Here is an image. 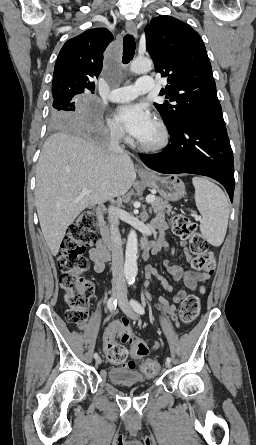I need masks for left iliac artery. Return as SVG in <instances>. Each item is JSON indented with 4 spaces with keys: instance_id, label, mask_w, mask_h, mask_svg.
<instances>
[{
    "instance_id": "44dca946",
    "label": "left iliac artery",
    "mask_w": 256,
    "mask_h": 445,
    "mask_svg": "<svg viewBox=\"0 0 256 445\" xmlns=\"http://www.w3.org/2000/svg\"><path fill=\"white\" fill-rule=\"evenodd\" d=\"M130 305L132 306V308L134 309V311L136 313H138V314H144L145 313L144 308L142 307V305L138 301H136L134 299H131L130 300ZM166 361L167 362H171V358L167 357Z\"/></svg>"
}]
</instances>
